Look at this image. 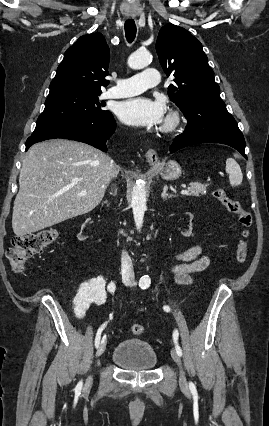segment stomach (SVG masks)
I'll return each instance as SVG.
<instances>
[{
	"label": "stomach",
	"instance_id": "stomach-1",
	"mask_svg": "<svg viewBox=\"0 0 269 426\" xmlns=\"http://www.w3.org/2000/svg\"><path fill=\"white\" fill-rule=\"evenodd\" d=\"M161 177L165 180H175L180 177L182 171L180 165L174 161L169 160L163 166H155Z\"/></svg>",
	"mask_w": 269,
	"mask_h": 426
}]
</instances>
